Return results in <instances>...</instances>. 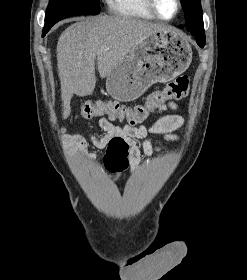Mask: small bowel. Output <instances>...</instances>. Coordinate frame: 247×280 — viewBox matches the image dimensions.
Segmentation results:
<instances>
[{
  "label": "small bowel",
  "instance_id": "c3829d8e",
  "mask_svg": "<svg viewBox=\"0 0 247 280\" xmlns=\"http://www.w3.org/2000/svg\"><path fill=\"white\" fill-rule=\"evenodd\" d=\"M177 109V104L169 103L163 105L159 112L166 109ZM183 119L177 114H168L159 118L152 126L146 127L144 125L132 126V125H115L109 118H101L99 120V126L104 131L102 136H97L94 133H89V141L97 149H105L114 139H121L128 145V158L131 164L132 171L138 168L141 160V153L146 157L151 156L153 153H159L161 151L160 143L153 141L150 138L151 134L163 135L165 139L175 141L177 135L174 132L181 127ZM65 139L69 150L76 158L85 157L91 161L95 160V155L92 152L87 151L88 141L79 132H73L72 134L65 135ZM143 140L142 151L136 144V140Z\"/></svg>",
  "mask_w": 247,
  "mask_h": 280
}]
</instances>
